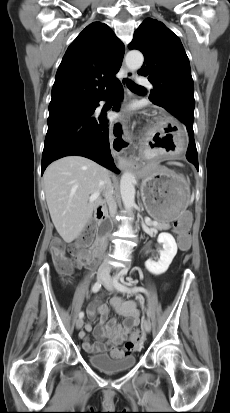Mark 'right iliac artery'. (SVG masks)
Listing matches in <instances>:
<instances>
[{
  "label": "right iliac artery",
  "instance_id": "82829eb1",
  "mask_svg": "<svg viewBox=\"0 0 230 413\" xmlns=\"http://www.w3.org/2000/svg\"><path fill=\"white\" fill-rule=\"evenodd\" d=\"M100 288H101V282L98 281L93 285L92 292L96 293L100 290ZM82 317H84V313L80 312L79 313V318H82Z\"/></svg>",
  "mask_w": 230,
  "mask_h": 413
}]
</instances>
